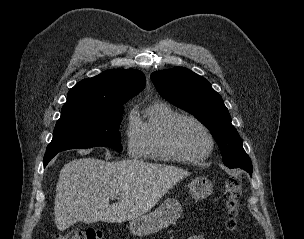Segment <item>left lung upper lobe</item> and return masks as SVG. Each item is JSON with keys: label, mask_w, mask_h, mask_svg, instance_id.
I'll list each match as a JSON object with an SVG mask.
<instances>
[{"label": "left lung upper lobe", "mask_w": 304, "mask_h": 239, "mask_svg": "<svg viewBox=\"0 0 304 239\" xmlns=\"http://www.w3.org/2000/svg\"><path fill=\"white\" fill-rule=\"evenodd\" d=\"M151 80L163 98L193 114L210 130L227 167H239L252 175L251 159L243 149L229 112L219 93L204 77L187 68L174 67L153 72Z\"/></svg>", "instance_id": "obj_1"}]
</instances>
